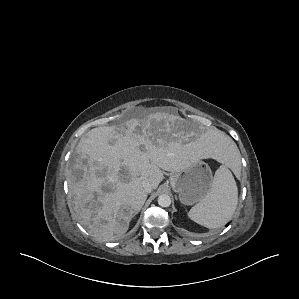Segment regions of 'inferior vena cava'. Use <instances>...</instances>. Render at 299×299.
I'll use <instances>...</instances> for the list:
<instances>
[{"instance_id":"obj_1","label":"inferior vena cava","mask_w":299,"mask_h":299,"mask_svg":"<svg viewBox=\"0 0 299 299\" xmlns=\"http://www.w3.org/2000/svg\"><path fill=\"white\" fill-rule=\"evenodd\" d=\"M142 187H143V189H144V191H145L146 193H150V192L152 191V186H151V184L149 183V181H147V180H144V181L142 182Z\"/></svg>"}]
</instances>
